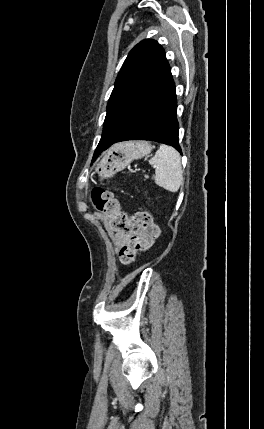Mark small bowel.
Returning a JSON list of instances; mask_svg holds the SVG:
<instances>
[{
  "label": "small bowel",
  "mask_w": 264,
  "mask_h": 429,
  "mask_svg": "<svg viewBox=\"0 0 264 429\" xmlns=\"http://www.w3.org/2000/svg\"><path fill=\"white\" fill-rule=\"evenodd\" d=\"M129 239H130V233L121 232L116 236V243L119 246H124L128 243Z\"/></svg>",
  "instance_id": "small-bowel-1"
}]
</instances>
